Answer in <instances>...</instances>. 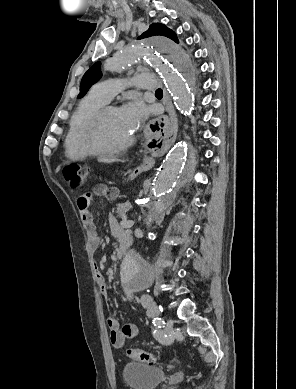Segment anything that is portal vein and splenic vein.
Masks as SVG:
<instances>
[{
    "label": "portal vein and splenic vein",
    "instance_id": "1",
    "mask_svg": "<svg viewBox=\"0 0 296 389\" xmlns=\"http://www.w3.org/2000/svg\"><path fill=\"white\" fill-rule=\"evenodd\" d=\"M121 225L126 228H130L134 225V221H127L126 218H124L121 222Z\"/></svg>",
    "mask_w": 296,
    "mask_h": 389
}]
</instances>
